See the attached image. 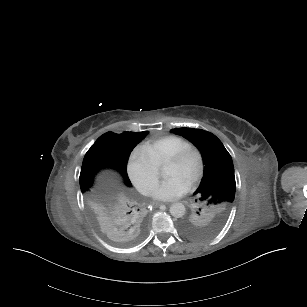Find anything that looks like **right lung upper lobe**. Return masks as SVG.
Here are the masks:
<instances>
[{"mask_svg": "<svg viewBox=\"0 0 307 307\" xmlns=\"http://www.w3.org/2000/svg\"><path fill=\"white\" fill-rule=\"evenodd\" d=\"M147 134L148 131L121 134L107 132L96 140L91 149L102 154L108 162L107 168L119 172L126 186L131 187L127 175L128 157ZM90 187L82 192V199L100 227L107 231L131 229L136 232L144 228L147 209L130 191L105 194Z\"/></svg>", "mask_w": 307, "mask_h": 307, "instance_id": "obj_1", "label": "right lung upper lobe"}]
</instances>
